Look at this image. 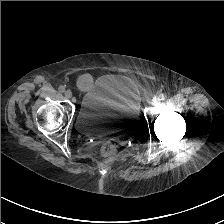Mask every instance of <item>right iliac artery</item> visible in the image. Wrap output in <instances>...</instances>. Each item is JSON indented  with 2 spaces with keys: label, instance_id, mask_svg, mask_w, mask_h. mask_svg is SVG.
<instances>
[{
  "label": "right iliac artery",
  "instance_id": "obj_1",
  "mask_svg": "<svg viewBox=\"0 0 224 224\" xmlns=\"http://www.w3.org/2000/svg\"><path fill=\"white\" fill-rule=\"evenodd\" d=\"M59 91H60L61 93L65 92V87H64V86H60V87H59Z\"/></svg>",
  "mask_w": 224,
  "mask_h": 224
}]
</instances>
